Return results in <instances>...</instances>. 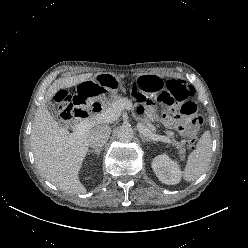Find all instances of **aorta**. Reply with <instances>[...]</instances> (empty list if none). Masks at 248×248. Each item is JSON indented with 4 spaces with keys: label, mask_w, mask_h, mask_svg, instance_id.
<instances>
[{
    "label": "aorta",
    "mask_w": 248,
    "mask_h": 248,
    "mask_svg": "<svg viewBox=\"0 0 248 248\" xmlns=\"http://www.w3.org/2000/svg\"><path fill=\"white\" fill-rule=\"evenodd\" d=\"M134 137V131L130 126L122 125L117 130V139L120 142H130Z\"/></svg>",
    "instance_id": "aorta-1"
}]
</instances>
